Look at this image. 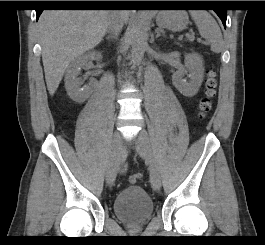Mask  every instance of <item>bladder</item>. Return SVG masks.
<instances>
[{"instance_id":"31cf9c89","label":"bladder","mask_w":265,"mask_h":245,"mask_svg":"<svg viewBox=\"0 0 265 245\" xmlns=\"http://www.w3.org/2000/svg\"><path fill=\"white\" fill-rule=\"evenodd\" d=\"M113 212L127 225H134L150 218L154 204L147 192L139 187H128L114 199Z\"/></svg>"}]
</instances>
